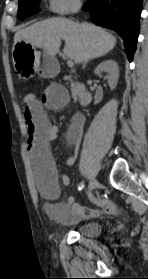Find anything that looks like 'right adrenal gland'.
<instances>
[{
    "label": "right adrenal gland",
    "mask_w": 148,
    "mask_h": 279,
    "mask_svg": "<svg viewBox=\"0 0 148 279\" xmlns=\"http://www.w3.org/2000/svg\"><path fill=\"white\" fill-rule=\"evenodd\" d=\"M86 63H87V61L84 63L83 67H85Z\"/></svg>",
    "instance_id": "obj_1"
}]
</instances>
